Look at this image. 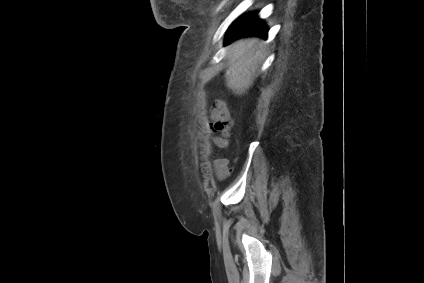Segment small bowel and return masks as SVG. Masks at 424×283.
<instances>
[{"mask_svg": "<svg viewBox=\"0 0 424 283\" xmlns=\"http://www.w3.org/2000/svg\"><path fill=\"white\" fill-rule=\"evenodd\" d=\"M214 169L220 180L227 178L232 172V169L228 166V160L224 158H219L214 161Z\"/></svg>", "mask_w": 424, "mask_h": 283, "instance_id": "c3829d8e", "label": "small bowel"}]
</instances>
